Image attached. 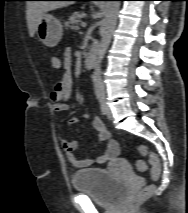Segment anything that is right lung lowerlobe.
I'll use <instances>...</instances> for the list:
<instances>
[{"instance_id": "obj_1", "label": "right lung lower lobe", "mask_w": 188, "mask_h": 213, "mask_svg": "<svg viewBox=\"0 0 188 213\" xmlns=\"http://www.w3.org/2000/svg\"><path fill=\"white\" fill-rule=\"evenodd\" d=\"M47 1V0H46ZM49 1V0H48ZM55 1V0H54ZM59 1V0H58ZM61 1V0H60ZM63 1V0H62ZM65 1V0H64ZM66 1H72V0H66Z\"/></svg>"}]
</instances>
